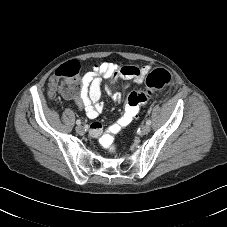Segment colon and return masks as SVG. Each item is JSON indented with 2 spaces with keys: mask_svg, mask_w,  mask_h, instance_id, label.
Segmentation results:
<instances>
[{
  "mask_svg": "<svg viewBox=\"0 0 227 227\" xmlns=\"http://www.w3.org/2000/svg\"><path fill=\"white\" fill-rule=\"evenodd\" d=\"M81 67L77 62L66 63L58 72L57 78L49 83L51 93L58 90L69 96H74L77 90L78 79ZM129 77L140 76L141 72L137 68L124 71ZM172 82L171 73L163 68H158L146 76L145 90L132 92L124 106L123 113L116 123L107 132L99 135V141L103 148L114 151L118 148L116 134L126 127L139 113L140 108L154 95V93Z\"/></svg>",
  "mask_w": 227,
  "mask_h": 227,
  "instance_id": "1",
  "label": "colon"
}]
</instances>
